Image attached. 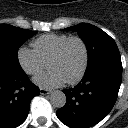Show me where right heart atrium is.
I'll use <instances>...</instances> for the list:
<instances>
[{
  "label": "right heart atrium",
  "instance_id": "1",
  "mask_svg": "<svg viewBox=\"0 0 128 128\" xmlns=\"http://www.w3.org/2000/svg\"><path fill=\"white\" fill-rule=\"evenodd\" d=\"M17 60L28 75H37L45 68V62L29 47L22 46L18 49Z\"/></svg>",
  "mask_w": 128,
  "mask_h": 128
}]
</instances>
